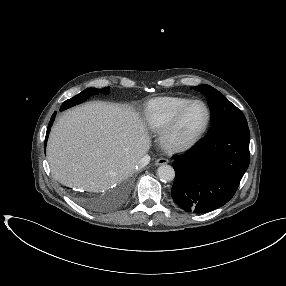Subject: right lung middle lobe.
I'll return each instance as SVG.
<instances>
[{
    "mask_svg": "<svg viewBox=\"0 0 286 286\" xmlns=\"http://www.w3.org/2000/svg\"><path fill=\"white\" fill-rule=\"evenodd\" d=\"M109 91L108 87H105L103 90L95 89V88H88L81 93L77 94L76 96L66 100L60 107V110H64L70 108L74 105H77L83 101H85L89 96L97 95L99 93H107Z\"/></svg>",
    "mask_w": 286,
    "mask_h": 286,
    "instance_id": "right-lung-middle-lobe-1",
    "label": "right lung middle lobe"
}]
</instances>
